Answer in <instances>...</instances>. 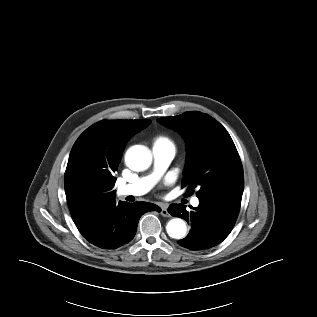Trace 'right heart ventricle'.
Here are the masks:
<instances>
[{"mask_svg": "<svg viewBox=\"0 0 317 317\" xmlns=\"http://www.w3.org/2000/svg\"><path fill=\"white\" fill-rule=\"evenodd\" d=\"M155 142H159V143H165V144H169L172 145V142L169 138L167 137H158Z\"/></svg>", "mask_w": 317, "mask_h": 317, "instance_id": "e07e8e85", "label": "right heart ventricle"}]
</instances>
